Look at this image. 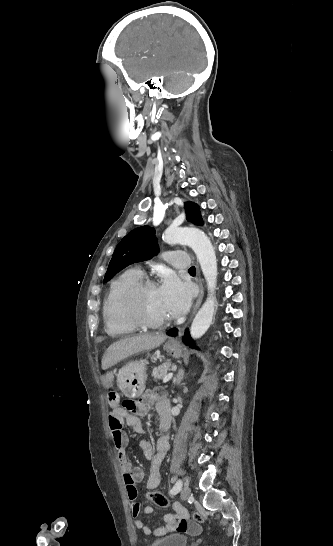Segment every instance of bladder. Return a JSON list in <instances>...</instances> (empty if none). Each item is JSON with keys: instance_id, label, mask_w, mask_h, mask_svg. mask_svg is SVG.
<instances>
[{"instance_id": "bladder-1", "label": "bladder", "mask_w": 333, "mask_h": 546, "mask_svg": "<svg viewBox=\"0 0 333 546\" xmlns=\"http://www.w3.org/2000/svg\"><path fill=\"white\" fill-rule=\"evenodd\" d=\"M188 537L175 533L151 541L149 546H187Z\"/></svg>"}]
</instances>
